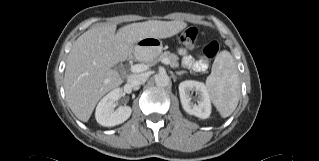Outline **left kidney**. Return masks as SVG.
I'll list each match as a JSON object with an SVG mask.
<instances>
[{
    "label": "left kidney",
    "mask_w": 319,
    "mask_h": 161,
    "mask_svg": "<svg viewBox=\"0 0 319 161\" xmlns=\"http://www.w3.org/2000/svg\"><path fill=\"white\" fill-rule=\"evenodd\" d=\"M198 95L197 104L192 101L191 93ZM179 94L183 109L190 115L206 119L211 114V103L206 86L202 82L186 80L179 84Z\"/></svg>",
    "instance_id": "obj_1"
}]
</instances>
